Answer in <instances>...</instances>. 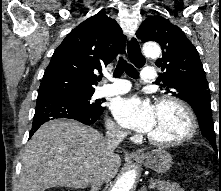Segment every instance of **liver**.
<instances>
[{"mask_svg": "<svg viewBox=\"0 0 221 191\" xmlns=\"http://www.w3.org/2000/svg\"><path fill=\"white\" fill-rule=\"evenodd\" d=\"M121 159L101 133L77 121L44 123L27 143L20 175L21 191L56 186L86 188L97 175L105 182L117 174Z\"/></svg>", "mask_w": 221, "mask_h": 191, "instance_id": "6515ba94", "label": "liver"}]
</instances>
